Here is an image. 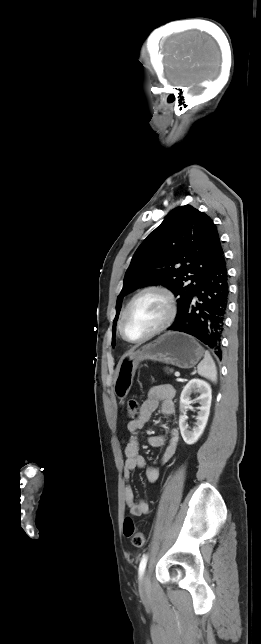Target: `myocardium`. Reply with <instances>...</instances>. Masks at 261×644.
<instances>
[{
    "label": "myocardium",
    "mask_w": 261,
    "mask_h": 644,
    "mask_svg": "<svg viewBox=\"0 0 261 644\" xmlns=\"http://www.w3.org/2000/svg\"><path fill=\"white\" fill-rule=\"evenodd\" d=\"M149 292H157V293L161 294L166 299L167 305H168L167 316H166L165 320L162 322L161 325H159L156 329H154L153 331H151L150 333H148L144 337L139 338V339H131V338H129L127 336V333H126V320H127L129 311H130L132 305L134 304V302L140 296H142L143 294L149 293ZM177 311H178V307H177V301H176L175 295L173 294V292L169 288H167L166 286H163V285H149V286H146V287L140 289L137 293H135L133 295V297L130 299V301L128 302V304L126 305V307H125V309H124V311L122 313L121 320H120V333H121V336L123 337V339L125 341H127L129 343H133V344L143 343V342H145V341L157 336L158 334L162 333L166 329H168L173 324V322L175 321L176 316H177Z\"/></svg>",
    "instance_id": "1"
}]
</instances>
